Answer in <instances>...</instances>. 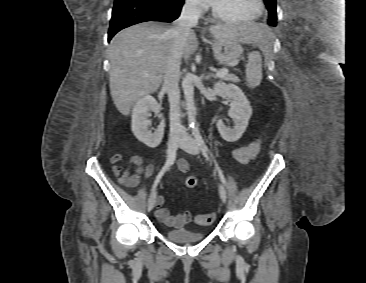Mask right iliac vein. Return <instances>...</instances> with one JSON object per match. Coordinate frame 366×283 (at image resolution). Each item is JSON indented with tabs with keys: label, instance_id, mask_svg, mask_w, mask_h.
Here are the masks:
<instances>
[{
	"label": "right iliac vein",
	"instance_id": "1",
	"mask_svg": "<svg viewBox=\"0 0 366 283\" xmlns=\"http://www.w3.org/2000/svg\"><path fill=\"white\" fill-rule=\"evenodd\" d=\"M179 136L178 135H172L170 136L169 140H168V149H167V154L168 157L175 152L177 146H178V142H179ZM156 191H153L148 199V209L152 210L155 206V202H156Z\"/></svg>",
	"mask_w": 366,
	"mask_h": 283
}]
</instances>
